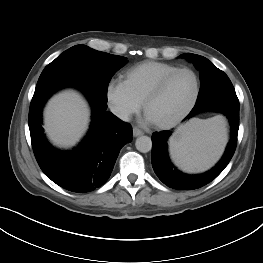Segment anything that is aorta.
Segmentation results:
<instances>
[{
  "mask_svg": "<svg viewBox=\"0 0 263 263\" xmlns=\"http://www.w3.org/2000/svg\"><path fill=\"white\" fill-rule=\"evenodd\" d=\"M136 149L142 153H147L152 149V141L148 136H140L135 142Z\"/></svg>",
  "mask_w": 263,
  "mask_h": 263,
  "instance_id": "762f6f07",
  "label": "aorta"
}]
</instances>
